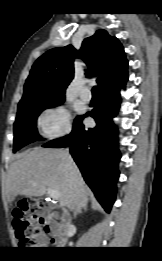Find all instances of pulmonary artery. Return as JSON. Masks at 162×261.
<instances>
[{
  "mask_svg": "<svg viewBox=\"0 0 162 261\" xmlns=\"http://www.w3.org/2000/svg\"><path fill=\"white\" fill-rule=\"evenodd\" d=\"M79 96L83 101H90L92 99V93L88 88H83L79 92Z\"/></svg>",
  "mask_w": 162,
  "mask_h": 261,
  "instance_id": "1",
  "label": "pulmonary artery"
}]
</instances>
